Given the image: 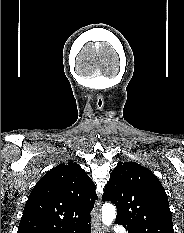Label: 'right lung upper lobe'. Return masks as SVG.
I'll list each match as a JSON object with an SVG mask.
<instances>
[{"label":"right lung upper lobe","mask_w":184,"mask_h":233,"mask_svg":"<svg viewBox=\"0 0 184 233\" xmlns=\"http://www.w3.org/2000/svg\"><path fill=\"white\" fill-rule=\"evenodd\" d=\"M95 188L77 163L56 166L31 191L17 233H61L91 219Z\"/></svg>","instance_id":"right-lung-upper-lobe-1"}]
</instances>
